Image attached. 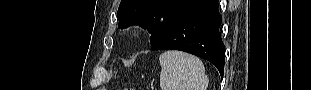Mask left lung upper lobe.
I'll use <instances>...</instances> for the list:
<instances>
[{"label": "left lung upper lobe", "instance_id": "left-lung-upper-lobe-1", "mask_svg": "<svg viewBox=\"0 0 311 90\" xmlns=\"http://www.w3.org/2000/svg\"><path fill=\"white\" fill-rule=\"evenodd\" d=\"M201 0H121L117 11L118 27L139 24L151 33V46L156 45L183 13Z\"/></svg>", "mask_w": 311, "mask_h": 90}]
</instances>
